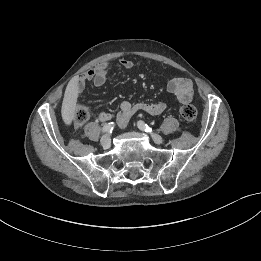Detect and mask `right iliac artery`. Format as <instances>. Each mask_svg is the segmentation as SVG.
I'll return each mask as SVG.
<instances>
[{
  "label": "right iliac artery",
  "mask_w": 261,
  "mask_h": 261,
  "mask_svg": "<svg viewBox=\"0 0 261 261\" xmlns=\"http://www.w3.org/2000/svg\"><path fill=\"white\" fill-rule=\"evenodd\" d=\"M113 127H114V123H113V122L108 123V124H105V125L102 127V132H103V133L111 132V131L113 130Z\"/></svg>",
  "instance_id": "1"
}]
</instances>
